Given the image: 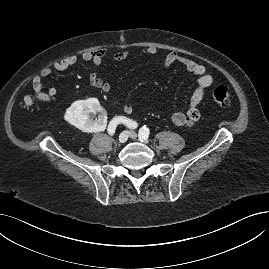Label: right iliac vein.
Masks as SVG:
<instances>
[{
  "instance_id": "right-iliac-vein-1",
  "label": "right iliac vein",
  "mask_w": 269,
  "mask_h": 269,
  "mask_svg": "<svg viewBox=\"0 0 269 269\" xmlns=\"http://www.w3.org/2000/svg\"><path fill=\"white\" fill-rule=\"evenodd\" d=\"M128 139V132L127 131H123L120 135H119V143H125Z\"/></svg>"
}]
</instances>
